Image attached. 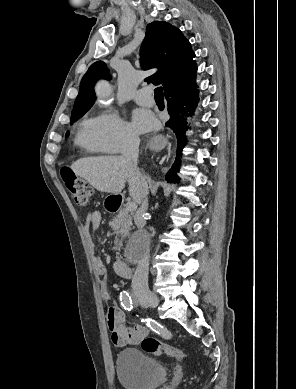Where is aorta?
I'll return each mask as SVG.
<instances>
[{
    "mask_svg": "<svg viewBox=\"0 0 296 389\" xmlns=\"http://www.w3.org/2000/svg\"><path fill=\"white\" fill-rule=\"evenodd\" d=\"M96 94L100 101L107 103L111 97L110 85L101 81L96 85ZM149 237L142 232L134 234L126 247V255L131 261H138L148 250Z\"/></svg>",
    "mask_w": 296,
    "mask_h": 389,
    "instance_id": "762f6f07",
    "label": "aorta"
}]
</instances>
